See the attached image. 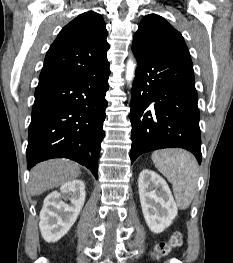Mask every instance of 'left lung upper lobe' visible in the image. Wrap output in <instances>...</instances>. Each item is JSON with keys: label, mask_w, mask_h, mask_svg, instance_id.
<instances>
[{"label": "left lung upper lobe", "mask_w": 233, "mask_h": 263, "mask_svg": "<svg viewBox=\"0 0 233 263\" xmlns=\"http://www.w3.org/2000/svg\"><path fill=\"white\" fill-rule=\"evenodd\" d=\"M132 48L168 58L191 61L182 35L156 14L147 15L142 19L134 36Z\"/></svg>", "instance_id": "5c2ea615"}]
</instances>
